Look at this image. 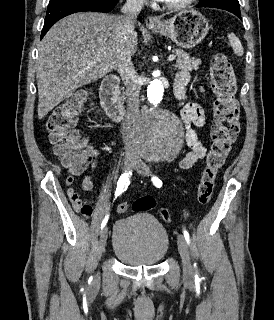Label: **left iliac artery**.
I'll return each instance as SVG.
<instances>
[{"label":"left iliac artery","instance_id":"obj_1","mask_svg":"<svg viewBox=\"0 0 274 320\" xmlns=\"http://www.w3.org/2000/svg\"><path fill=\"white\" fill-rule=\"evenodd\" d=\"M152 182L158 188H160L162 186V181L156 176L152 177ZM183 234H184V237H185V240L187 241V243L190 244V236H189V233L186 229L183 230ZM195 277H196V279H198L197 275Z\"/></svg>","mask_w":274,"mask_h":320}]
</instances>
